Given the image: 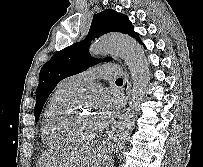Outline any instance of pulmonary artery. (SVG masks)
Segmentation results:
<instances>
[{
  "label": "pulmonary artery",
  "instance_id": "1",
  "mask_svg": "<svg viewBox=\"0 0 203 167\" xmlns=\"http://www.w3.org/2000/svg\"><path fill=\"white\" fill-rule=\"evenodd\" d=\"M121 74V68L113 64H104L90 68L89 70L70 76L64 80V83L77 88L92 81L94 78H115Z\"/></svg>",
  "mask_w": 203,
  "mask_h": 167
}]
</instances>
